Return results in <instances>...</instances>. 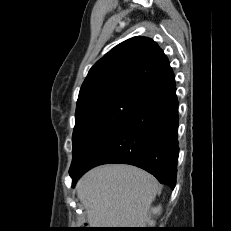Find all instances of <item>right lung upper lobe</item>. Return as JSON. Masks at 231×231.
Masks as SVG:
<instances>
[{
    "label": "right lung upper lobe",
    "instance_id": "right-lung-upper-lobe-1",
    "mask_svg": "<svg viewBox=\"0 0 231 231\" xmlns=\"http://www.w3.org/2000/svg\"><path fill=\"white\" fill-rule=\"evenodd\" d=\"M174 90V73L162 49L150 38L133 37L92 66L80 89L77 109L112 94H132L146 101Z\"/></svg>",
    "mask_w": 231,
    "mask_h": 231
}]
</instances>
